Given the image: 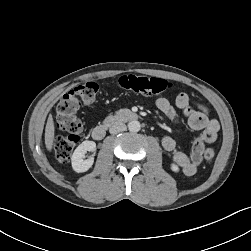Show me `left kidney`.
I'll use <instances>...</instances> for the list:
<instances>
[{"mask_svg":"<svg viewBox=\"0 0 251 251\" xmlns=\"http://www.w3.org/2000/svg\"><path fill=\"white\" fill-rule=\"evenodd\" d=\"M170 168H171V170L173 171V172H179V167H178V165H176L175 163H172L171 165H170Z\"/></svg>","mask_w":251,"mask_h":251,"instance_id":"5707ae66","label":"left kidney"}]
</instances>
